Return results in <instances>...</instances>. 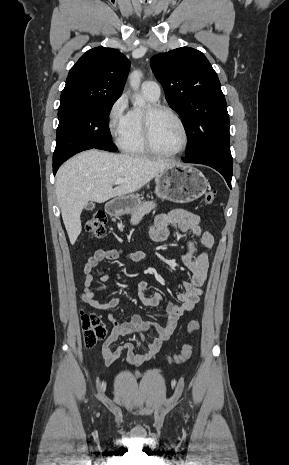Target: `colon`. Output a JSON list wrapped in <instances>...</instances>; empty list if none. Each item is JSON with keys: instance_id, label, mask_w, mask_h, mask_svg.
Masks as SVG:
<instances>
[{"instance_id": "5ec220e1", "label": "colon", "mask_w": 289, "mask_h": 465, "mask_svg": "<svg viewBox=\"0 0 289 465\" xmlns=\"http://www.w3.org/2000/svg\"><path fill=\"white\" fill-rule=\"evenodd\" d=\"M216 199V191L211 189L204 195V202L212 204ZM106 216L103 212L99 211L86 222V229L91 236L96 238L103 237L105 233ZM82 333L83 342L87 348H92L97 342L102 340L106 335V328L101 322L99 316L93 312H82ZM200 329V324L197 321H191L187 326L188 333L196 332ZM193 352L190 343L186 342L178 354L173 355L170 361L173 363H184L187 361Z\"/></svg>"}]
</instances>
